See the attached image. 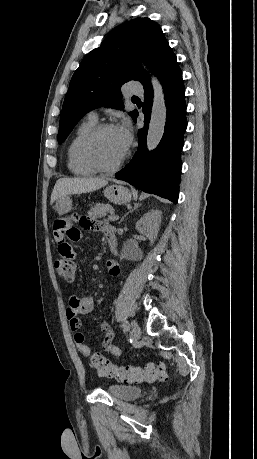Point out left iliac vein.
<instances>
[{
    "instance_id": "1",
    "label": "left iliac vein",
    "mask_w": 257,
    "mask_h": 459,
    "mask_svg": "<svg viewBox=\"0 0 257 459\" xmlns=\"http://www.w3.org/2000/svg\"><path fill=\"white\" fill-rule=\"evenodd\" d=\"M131 336L134 340H138L141 336V329L135 321L131 322Z\"/></svg>"
}]
</instances>
